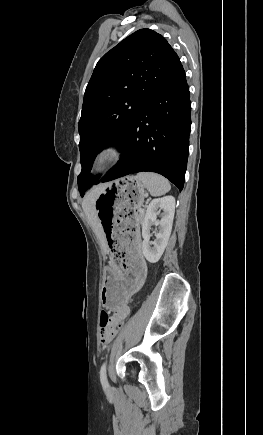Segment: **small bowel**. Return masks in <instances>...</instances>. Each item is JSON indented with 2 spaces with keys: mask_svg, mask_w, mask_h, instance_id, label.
I'll list each match as a JSON object with an SVG mask.
<instances>
[{
  "mask_svg": "<svg viewBox=\"0 0 263 435\" xmlns=\"http://www.w3.org/2000/svg\"><path fill=\"white\" fill-rule=\"evenodd\" d=\"M138 260H143L141 255L138 254ZM114 314H113V321H108L105 324V327L108 329V333L110 335H114L117 333V328L116 325L120 322V321H124L129 313H130V309L128 305H121V309L120 310H113Z\"/></svg>",
  "mask_w": 263,
  "mask_h": 435,
  "instance_id": "obj_1",
  "label": "small bowel"
}]
</instances>
